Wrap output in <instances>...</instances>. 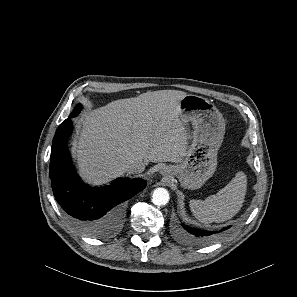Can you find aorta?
Here are the masks:
<instances>
[{
    "label": "aorta",
    "instance_id": "obj_1",
    "mask_svg": "<svg viewBox=\"0 0 297 297\" xmlns=\"http://www.w3.org/2000/svg\"><path fill=\"white\" fill-rule=\"evenodd\" d=\"M152 202L157 206L166 205L169 202V192L165 188H156L152 195Z\"/></svg>",
    "mask_w": 297,
    "mask_h": 297
}]
</instances>
